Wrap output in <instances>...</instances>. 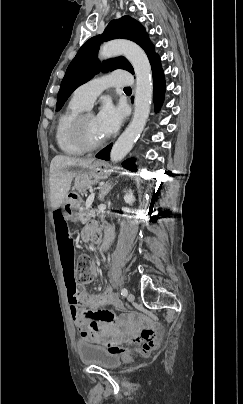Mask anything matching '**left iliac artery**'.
I'll use <instances>...</instances> for the list:
<instances>
[{
	"label": "left iliac artery",
	"instance_id": "left-iliac-artery-1",
	"mask_svg": "<svg viewBox=\"0 0 243 404\" xmlns=\"http://www.w3.org/2000/svg\"><path fill=\"white\" fill-rule=\"evenodd\" d=\"M127 294H128L127 289H126V288H123V289L121 290V295H122L123 297H125V296H127Z\"/></svg>",
	"mask_w": 243,
	"mask_h": 404
}]
</instances>
